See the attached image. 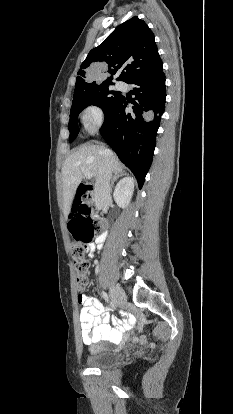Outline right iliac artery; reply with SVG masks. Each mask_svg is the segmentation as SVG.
<instances>
[{
  "label": "right iliac artery",
  "mask_w": 233,
  "mask_h": 414,
  "mask_svg": "<svg viewBox=\"0 0 233 414\" xmlns=\"http://www.w3.org/2000/svg\"><path fill=\"white\" fill-rule=\"evenodd\" d=\"M102 296L105 299V301L109 303L110 300H109V296L107 295V293L102 292ZM110 305L113 306L112 302H110Z\"/></svg>",
  "instance_id": "82829eb1"
}]
</instances>
